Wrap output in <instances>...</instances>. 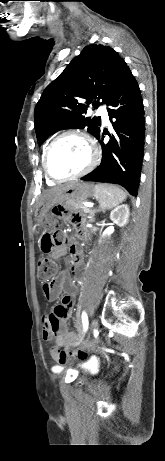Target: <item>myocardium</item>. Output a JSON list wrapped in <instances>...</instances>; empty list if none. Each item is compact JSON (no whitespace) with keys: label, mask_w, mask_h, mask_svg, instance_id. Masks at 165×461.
<instances>
[{"label":"myocardium","mask_w":165,"mask_h":461,"mask_svg":"<svg viewBox=\"0 0 165 461\" xmlns=\"http://www.w3.org/2000/svg\"><path fill=\"white\" fill-rule=\"evenodd\" d=\"M68 136L78 137L85 142L89 150V154H90L89 162L81 171H79L76 174L66 176V177H56L51 173L50 168L48 166L49 156L51 154L52 149L56 145V143L60 141L61 139L68 137ZM97 163H98V150H97L95 143L93 142L92 138L88 134H86L85 132L79 131V130H67V131L60 133L47 145L44 151V154H43L44 172L46 176L53 182H64V181L74 180V179L83 177L84 175L91 172L95 168Z\"/></svg>","instance_id":"obj_1"}]
</instances>
